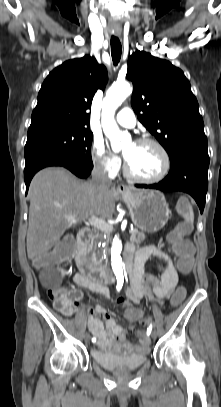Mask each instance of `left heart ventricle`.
Wrapping results in <instances>:
<instances>
[{"label":"left heart ventricle","instance_id":"left-heart-ventricle-1","mask_svg":"<svg viewBox=\"0 0 221 407\" xmlns=\"http://www.w3.org/2000/svg\"><path fill=\"white\" fill-rule=\"evenodd\" d=\"M135 173L147 178H154L164 169V158L153 145L129 143L123 150Z\"/></svg>","mask_w":221,"mask_h":407}]
</instances>
